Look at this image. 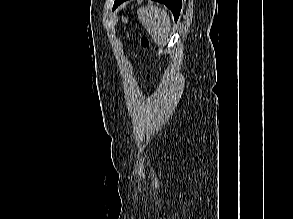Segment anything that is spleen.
Here are the masks:
<instances>
[{"label":"spleen","mask_w":293,"mask_h":219,"mask_svg":"<svg viewBox=\"0 0 293 219\" xmlns=\"http://www.w3.org/2000/svg\"><path fill=\"white\" fill-rule=\"evenodd\" d=\"M137 14L154 42L164 45L171 29V21L167 12L158 7L148 6L140 8Z\"/></svg>","instance_id":"3e777b00"}]
</instances>
